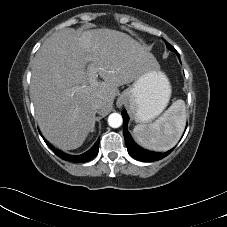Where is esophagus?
I'll list each match as a JSON object with an SVG mask.
<instances>
[{
	"mask_svg": "<svg viewBox=\"0 0 227 227\" xmlns=\"http://www.w3.org/2000/svg\"><path fill=\"white\" fill-rule=\"evenodd\" d=\"M123 104H124V100L122 98H119L116 103L117 107L120 108V107H122Z\"/></svg>",
	"mask_w": 227,
	"mask_h": 227,
	"instance_id": "1",
	"label": "esophagus"
}]
</instances>
